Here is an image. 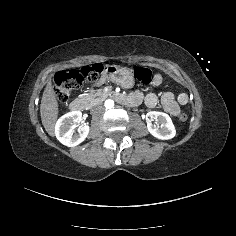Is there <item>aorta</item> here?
I'll use <instances>...</instances> for the list:
<instances>
[{
  "instance_id": "762f6f07",
  "label": "aorta",
  "mask_w": 236,
  "mask_h": 236,
  "mask_svg": "<svg viewBox=\"0 0 236 236\" xmlns=\"http://www.w3.org/2000/svg\"><path fill=\"white\" fill-rule=\"evenodd\" d=\"M104 106H105L106 109L113 108V106H114L113 100H106L105 103H104Z\"/></svg>"
}]
</instances>
